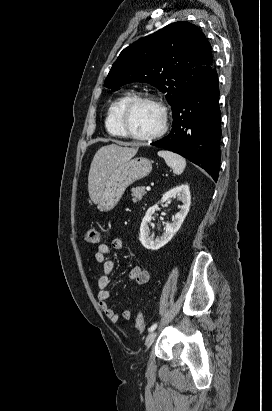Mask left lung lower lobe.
Returning <instances> with one entry per match:
<instances>
[{"instance_id": "1", "label": "left lung lower lobe", "mask_w": 272, "mask_h": 411, "mask_svg": "<svg viewBox=\"0 0 272 411\" xmlns=\"http://www.w3.org/2000/svg\"><path fill=\"white\" fill-rule=\"evenodd\" d=\"M219 87L215 69L191 89L173 111L172 130L151 143L187 158L214 180L220 169Z\"/></svg>"}]
</instances>
